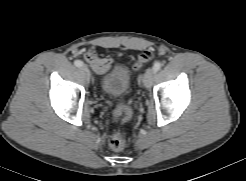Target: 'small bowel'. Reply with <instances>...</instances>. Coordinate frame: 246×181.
Instances as JSON below:
<instances>
[{"mask_svg": "<svg viewBox=\"0 0 246 181\" xmlns=\"http://www.w3.org/2000/svg\"><path fill=\"white\" fill-rule=\"evenodd\" d=\"M84 58L97 74L103 75L111 69L112 60L107 57H99L93 51H88Z\"/></svg>", "mask_w": 246, "mask_h": 181, "instance_id": "obj_1", "label": "small bowel"}]
</instances>
